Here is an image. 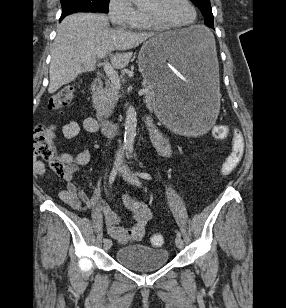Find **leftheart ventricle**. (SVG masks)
<instances>
[{"instance_id":"left-heart-ventricle-1","label":"left heart ventricle","mask_w":286,"mask_h":308,"mask_svg":"<svg viewBox=\"0 0 286 308\" xmlns=\"http://www.w3.org/2000/svg\"><path fill=\"white\" fill-rule=\"evenodd\" d=\"M143 10L171 24H187L194 17L185 0H150Z\"/></svg>"}]
</instances>
